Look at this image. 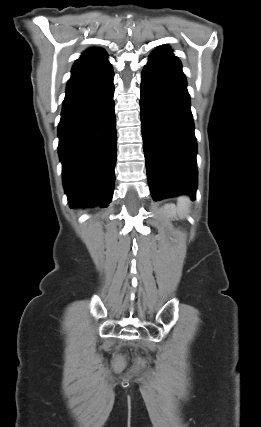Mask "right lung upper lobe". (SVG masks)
<instances>
[{
	"label": "right lung upper lobe",
	"mask_w": 261,
	"mask_h": 427,
	"mask_svg": "<svg viewBox=\"0 0 261 427\" xmlns=\"http://www.w3.org/2000/svg\"><path fill=\"white\" fill-rule=\"evenodd\" d=\"M107 54L101 48H94L85 51L82 56L75 62L71 78L69 81L79 79L90 75L109 66Z\"/></svg>",
	"instance_id": "cb5924a9"
}]
</instances>
